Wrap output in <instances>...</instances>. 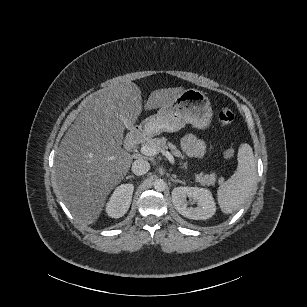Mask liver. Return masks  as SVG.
I'll return each mask as SVG.
<instances>
[{"mask_svg":"<svg viewBox=\"0 0 307 307\" xmlns=\"http://www.w3.org/2000/svg\"><path fill=\"white\" fill-rule=\"evenodd\" d=\"M182 87L153 91L147 109L168 105ZM142 108L141 90L133 82L113 85L89 95L58 148L54 175L60 198L72 215L91 224L104 200L128 172L131 157L114 139L130 128Z\"/></svg>","mask_w":307,"mask_h":307,"instance_id":"1","label":"liver"}]
</instances>
